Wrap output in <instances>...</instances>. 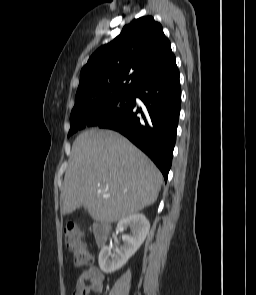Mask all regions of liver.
Here are the masks:
<instances>
[{
	"label": "liver",
	"mask_w": 256,
	"mask_h": 295,
	"mask_svg": "<svg viewBox=\"0 0 256 295\" xmlns=\"http://www.w3.org/2000/svg\"><path fill=\"white\" fill-rule=\"evenodd\" d=\"M162 183L155 164L125 137L86 130L72 146L61 213L84 206L94 220L116 222L154 204Z\"/></svg>",
	"instance_id": "obj_1"
}]
</instances>
